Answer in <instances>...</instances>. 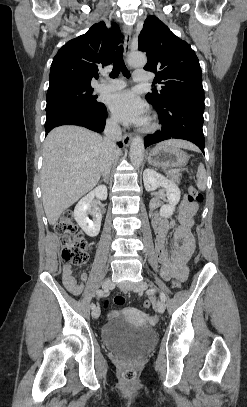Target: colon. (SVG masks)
<instances>
[{"label": "colon", "instance_id": "colon-1", "mask_svg": "<svg viewBox=\"0 0 247 407\" xmlns=\"http://www.w3.org/2000/svg\"><path fill=\"white\" fill-rule=\"evenodd\" d=\"M187 199L192 203H200L203 201V195L194 186H190L188 189ZM54 229L61 239L62 262L64 264H72L75 266L85 264L88 260L87 242L74 224L72 213L70 211L65 212L56 222ZM173 286L176 288L180 287L181 280H174ZM124 302L125 299L123 296H114L112 299L106 301L105 309H108L111 303L115 305H122ZM151 304V301L146 300L144 302V307L149 308ZM136 376L137 372L133 367H126L123 370V377L127 381H133Z\"/></svg>", "mask_w": 247, "mask_h": 407}]
</instances>
